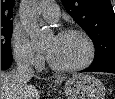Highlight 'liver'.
I'll return each mask as SVG.
<instances>
[{
    "mask_svg": "<svg viewBox=\"0 0 115 99\" xmlns=\"http://www.w3.org/2000/svg\"><path fill=\"white\" fill-rule=\"evenodd\" d=\"M64 79V77H58L55 82L59 83ZM29 80L21 83L15 72L1 71V99H39L36 87L29 83Z\"/></svg>",
    "mask_w": 115,
    "mask_h": 99,
    "instance_id": "6515ba94",
    "label": "liver"
}]
</instances>
